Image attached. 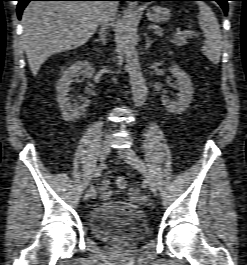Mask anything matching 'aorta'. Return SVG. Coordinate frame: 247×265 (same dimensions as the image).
<instances>
[{"instance_id":"aorta-1","label":"aorta","mask_w":247,"mask_h":265,"mask_svg":"<svg viewBox=\"0 0 247 265\" xmlns=\"http://www.w3.org/2000/svg\"><path fill=\"white\" fill-rule=\"evenodd\" d=\"M120 32L126 58V70L131 83L132 99L135 106L140 107L146 99L147 88L141 71L138 53L134 46V15L132 5L124 11Z\"/></svg>"}]
</instances>
